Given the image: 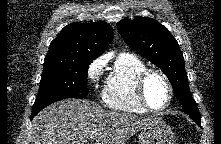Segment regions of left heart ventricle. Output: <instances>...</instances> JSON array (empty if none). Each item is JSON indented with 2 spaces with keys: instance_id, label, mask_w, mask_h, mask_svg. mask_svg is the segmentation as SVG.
<instances>
[{
  "instance_id": "b2bd125f",
  "label": "left heart ventricle",
  "mask_w": 221,
  "mask_h": 144,
  "mask_svg": "<svg viewBox=\"0 0 221 144\" xmlns=\"http://www.w3.org/2000/svg\"><path fill=\"white\" fill-rule=\"evenodd\" d=\"M147 102L153 108H161L168 99V88L164 80L156 74L151 75L145 85Z\"/></svg>"
}]
</instances>
